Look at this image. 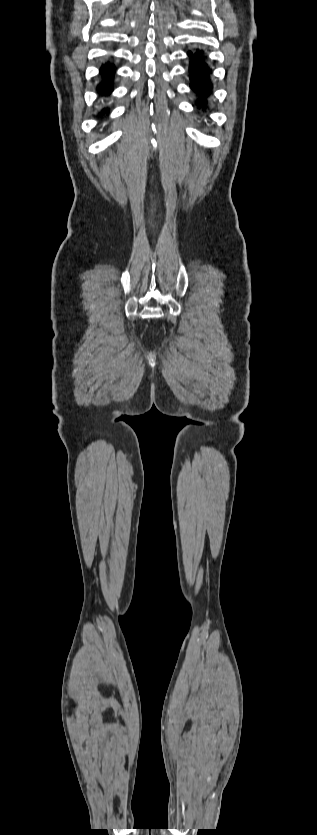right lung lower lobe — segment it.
Here are the masks:
<instances>
[{"instance_id":"right-lung-lower-lobe-1","label":"right lung lower lobe","mask_w":317,"mask_h":835,"mask_svg":"<svg viewBox=\"0 0 317 835\" xmlns=\"http://www.w3.org/2000/svg\"><path fill=\"white\" fill-rule=\"evenodd\" d=\"M100 72L103 75L104 80H102V82L97 87V92L101 95H108L113 90L111 84L113 83L115 65L107 63L101 68ZM107 81H109V83L111 84H108ZM108 112L109 110L107 108H103L100 111L98 117H102L104 114H107Z\"/></svg>"}]
</instances>
